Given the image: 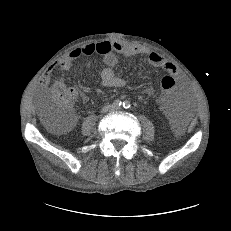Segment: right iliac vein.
Listing matches in <instances>:
<instances>
[{"instance_id": "obj_1", "label": "right iliac vein", "mask_w": 231, "mask_h": 231, "mask_svg": "<svg viewBox=\"0 0 231 231\" xmlns=\"http://www.w3.org/2000/svg\"><path fill=\"white\" fill-rule=\"evenodd\" d=\"M113 110V107L112 106H105L103 109H102V112L103 113H106V112H109V111H112Z\"/></svg>"}]
</instances>
